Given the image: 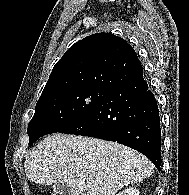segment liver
Segmentation results:
<instances>
[{
  "label": "liver",
  "mask_w": 189,
  "mask_h": 195,
  "mask_svg": "<svg viewBox=\"0 0 189 195\" xmlns=\"http://www.w3.org/2000/svg\"><path fill=\"white\" fill-rule=\"evenodd\" d=\"M26 177L40 185L66 183L70 195H115L153 174L143 154L116 142L51 134L24 162Z\"/></svg>",
  "instance_id": "obj_1"
}]
</instances>
